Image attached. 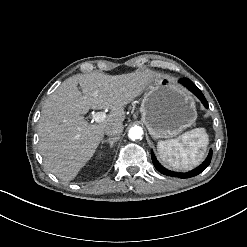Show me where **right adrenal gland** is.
Wrapping results in <instances>:
<instances>
[{
  "instance_id": "right-adrenal-gland-1",
  "label": "right adrenal gland",
  "mask_w": 247,
  "mask_h": 247,
  "mask_svg": "<svg viewBox=\"0 0 247 247\" xmlns=\"http://www.w3.org/2000/svg\"><path fill=\"white\" fill-rule=\"evenodd\" d=\"M101 142H108L110 144V147H113V144L116 142V139L115 138H107V139L102 138Z\"/></svg>"
}]
</instances>
